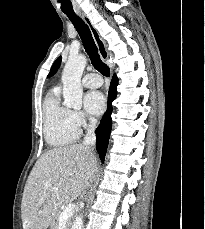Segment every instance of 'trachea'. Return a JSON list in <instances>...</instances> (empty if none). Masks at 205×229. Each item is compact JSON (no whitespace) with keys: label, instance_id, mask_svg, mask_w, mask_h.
Returning <instances> with one entry per match:
<instances>
[{"label":"trachea","instance_id":"trachea-1","mask_svg":"<svg viewBox=\"0 0 205 229\" xmlns=\"http://www.w3.org/2000/svg\"><path fill=\"white\" fill-rule=\"evenodd\" d=\"M67 17L70 19L79 36L81 37L85 51L89 55L92 65L102 75L109 76V68L102 62L100 58L97 46L88 25L77 15L67 14Z\"/></svg>","mask_w":205,"mask_h":229}]
</instances>
